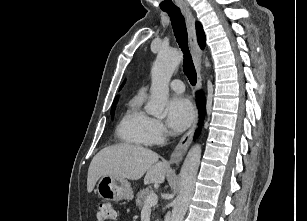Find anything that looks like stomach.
<instances>
[{"mask_svg":"<svg viewBox=\"0 0 307 221\" xmlns=\"http://www.w3.org/2000/svg\"><path fill=\"white\" fill-rule=\"evenodd\" d=\"M96 192L106 200H131L133 191L130 183L123 178L116 176H102L97 184Z\"/></svg>","mask_w":307,"mask_h":221,"instance_id":"obj_1","label":"stomach"}]
</instances>
